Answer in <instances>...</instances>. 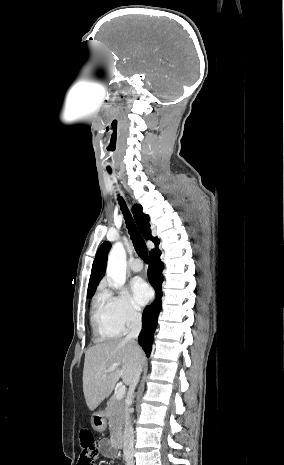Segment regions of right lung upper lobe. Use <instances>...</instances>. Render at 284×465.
I'll use <instances>...</instances> for the list:
<instances>
[{
	"label": "right lung upper lobe",
	"instance_id": "1",
	"mask_svg": "<svg viewBox=\"0 0 284 465\" xmlns=\"http://www.w3.org/2000/svg\"><path fill=\"white\" fill-rule=\"evenodd\" d=\"M132 212L135 218V221L143 235V237L146 240H152L155 244V248L158 247L159 245V239L156 237H153L151 235V229H150V224H149V217L148 215L144 214L142 212V207L139 204H135L132 207ZM111 248V244L108 241H105L100 248L98 249L93 266H92V271H91V276H90V281L88 285V291H87V296L88 295H93L98 283L102 279L105 273V268H106V263H107V255L108 252Z\"/></svg>",
	"mask_w": 284,
	"mask_h": 465
}]
</instances>
